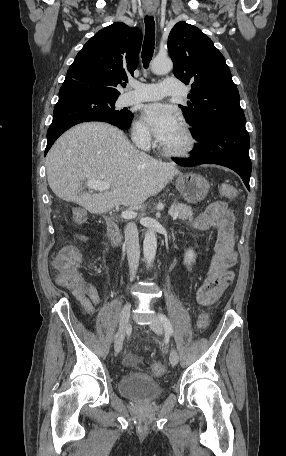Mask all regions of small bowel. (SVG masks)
I'll use <instances>...</instances> for the list:
<instances>
[{
  "mask_svg": "<svg viewBox=\"0 0 286 456\" xmlns=\"http://www.w3.org/2000/svg\"><path fill=\"white\" fill-rule=\"evenodd\" d=\"M234 225V214L223 202L212 203L194 222L195 228L199 231L214 227L219 229L216 253L208 259L202 282L196 291L197 300L203 306L214 303L234 279L232 268L238 257L235 250ZM80 240L86 241L87 238L82 236ZM73 296L88 315H93L101 302L92 283H88L80 291H73Z\"/></svg>",
  "mask_w": 286,
  "mask_h": 456,
  "instance_id": "c3829d8e",
  "label": "small bowel"
}]
</instances>
